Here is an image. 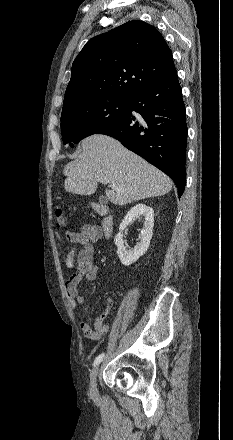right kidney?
<instances>
[{"mask_svg": "<svg viewBox=\"0 0 233 440\" xmlns=\"http://www.w3.org/2000/svg\"><path fill=\"white\" fill-rule=\"evenodd\" d=\"M135 217H144L143 229L140 232V242L136 244L133 250H128L124 246L123 231L130 225ZM154 227V211L151 207L145 204H137L124 217L119 227V233L115 236L114 242L117 246V254L121 263L129 266L136 262L142 255L146 253L149 248L150 240L153 235Z\"/></svg>", "mask_w": 233, "mask_h": 440, "instance_id": "right-kidney-1", "label": "right kidney"}]
</instances>
